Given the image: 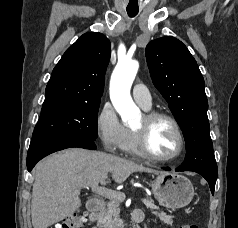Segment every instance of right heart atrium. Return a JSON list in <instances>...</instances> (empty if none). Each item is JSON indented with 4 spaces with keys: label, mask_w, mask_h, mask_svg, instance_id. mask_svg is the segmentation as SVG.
Here are the masks:
<instances>
[{
    "label": "right heart atrium",
    "mask_w": 238,
    "mask_h": 228,
    "mask_svg": "<svg viewBox=\"0 0 238 228\" xmlns=\"http://www.w3.org/2000/svg\"><path fill=\"white\" fill-rule=\"evenodd\" d=\"M96 129L107 151L117 152L123 149L128 137V129L121 122L114 107L108 102L103 104L98 113Z\"/></svg>",
    "instance_id": "obj_1"
}]
</instances>
